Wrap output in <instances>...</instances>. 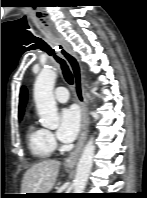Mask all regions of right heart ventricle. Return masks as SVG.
<instances>
[{
  "mask_svg": "<svg viewBox=\"0 0 147 198\" xmlns=\"http://www.w3.org/2000/svg\"><path fill=\"white\" fill-rule=\"evenodd\" d=\"M27 142L32 155L37 159H46L53 151L48 140V131L35 124L28 126Z\"/></svg>",
  "mask_w": 147,
  "mask_h": 198,
  "instance_id": "1",
  "label": "right heart ventricle"
}]
</instances>
